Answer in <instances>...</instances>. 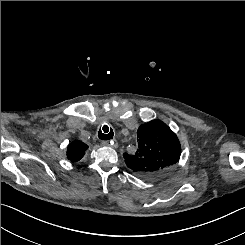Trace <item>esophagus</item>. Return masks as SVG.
I'll list each match as a JSON object with an SVG mask.
<instances>
[{
	"mask_svg": "<svg viewBox=\"0 0 245 245\" xmlns=\"http://www.w3.org/2000/svg\"><path fill=\"white\" fill-rule=\"evenodd\" d=\"M110 141H108V140H104V141H102V145L103 146H110Z\"/></svg>",
	"mask_w": 245,
	"mask_h": 245,
	"instance_id": "1",
	"label": "esophagus"
}]
</instances>
